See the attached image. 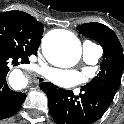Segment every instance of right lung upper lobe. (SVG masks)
<instances>
[{"label":"right lung upper lobe","instance_id":"cb5924a9","mask_svg":"<svg viewBox=\"0 0 124 124\" xmlns=\"http://www.w3.org/2000/svg\"><path fill=\"white\" fill-rule=\"evenodd\" d=\"M11 12H14V13L18 14L19 16H21L24 19H28L29 20L30 18H33L30 15H28L27 13H24V12H21V11H11ZM42 34H43V30H42Z\"/></svg>","mask_w":124,"mask_h":124}]
</instances>
